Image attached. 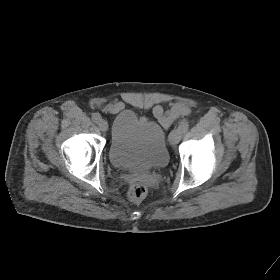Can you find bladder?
Here are the masks:
<instances>
[{"instance_id":"bladder-1","label":"bladder","mask_w":280,"mask_h":280,"mask_svg":"<svg viewBox=\"0 0 280 280\" xmlns=\"http://www.w3.org/2000/svg\"><path fill=\"white\" fill-rule=\"evenodd\" d=\"M108 156L114 167L133 172L165 167L169 162L166 132L159 123L122 110L112 123Z\"/></svg>"}]
</instances>
